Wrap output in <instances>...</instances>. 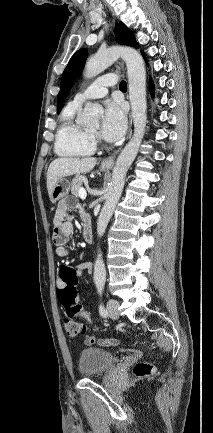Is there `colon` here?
<instances>
[{
	"mask_svg": "<svg viewBox=\"0 0 213 433\" xmlns=\"http://www.w3.org/2000/svg\"><path fill=\"white\" fill-rule=\"evenodd\" d=\"M60 278L63 286L58 290V298L66 310L67 316L64 319V328L68 336L74 338L85 333V325L79 318L92 322V315L85 311L78 302L76 285L78 275L76 270L70 266H64L60 270ZM98 329V328H96ZM151 364L146 362L138 363L134 372L137 376H147L153 372Z\"/></svg>",
	"mask_w": 213,
	"mask_h": 433,
	"instance_id": "1",
	"label": "colon"
}]
</instances>
